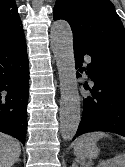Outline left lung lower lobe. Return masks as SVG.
<instances>
[{
	"instance_id": "left-lung-lower-lobe-1",
	"label": "left lung lower lobe",
	"mask_w": 125,
	"mask_h": 167,
	"mask_svg": "<svg viewBox=\"0 0 125 167\" xmlns=\"http://www.w3.org/2000/svg\"><path fill=\"white\" fill-rule=\"evenodd\" d=\"M89 55L87 74L94 82L92 96L84 99L82 119L73 140L94 131L113 132L125 136V55L108 47L87 49L74 43L76 68L80 73L83 56ZM80 77V74H77Z\"/></svg>"
}]
</instances>
